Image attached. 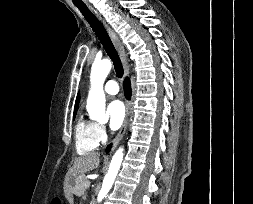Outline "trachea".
Returning <instances> with one entry per match:
<instances>
[{
	"mask_svg": "<svg viewBox=\"0 0 253 204\" xmlns=\"http://www.w3.org/2000/svg\"><path fill=\"white\" fill-rule=\"evenodd\" d=\"M76 6L85 17V19L89 22L96 36L103 45L106 53L112 59L117 76L121 78L124 73L123 66L105 28L85 4Z\"/></svg>",
	"mask_w": 253,
	"mask_h": 204,
	"instance_id": "3493384b",
	"label": "trachea"
}]
</instances>
